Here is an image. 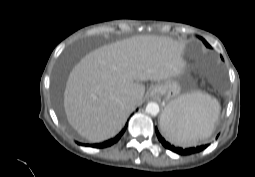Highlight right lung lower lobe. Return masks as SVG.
<instances>
[{"instance_id": "1", "label": "right lung lower lobe", "mask_w": 255, "mask_h": 177, "mask_svg": "<svg viewBox=\"0 0 255 177\" xmlns=\"http://www.w3.org/2000/svg\"><path fill=\"white\" fill-rule=\"evenodd\" d=\"M126 128H127V124L118 135H116L114 138H111L110 140H107V141H105L103 143H99V144H85V146H91V147H95V148L109 147V146L113 145L114 143H116L121 138V136L124 134Z\"/></svg>"}]
</instances>
